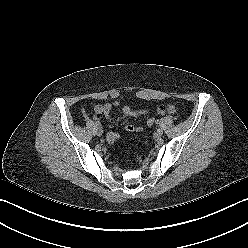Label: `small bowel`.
Listing matches in <instances>:
<instances>
[{
	"instance_id": "1",
	"label": "small bowel",
	"mask_w": 248,
	"mask_h": 248,
	"mask_svg": "<svg viewBox=\"0 0 248 248\" xmlns=\"http://www.w3.org/2000/svg\"><path fill=\"white\" fill-rule=\"evenodd\" d=\"M118 103L114 102L113 104L111 103H106V104H97L94 107V112L97 115L103 114L106 119L111 120L112 119V109L113 107H117ZM155 112L159 115H164L166 113H172L174 112V106L173 105H158L155 108ZM122 113L124 116H130V117H136V116H141L147 113V110L143 109H133L130 106H124L122 108ZM125 129L128 132H141L143 130L142 127L139 126H134L132 124H127L125 126Z\"/></svg>"
}]
</instances>
